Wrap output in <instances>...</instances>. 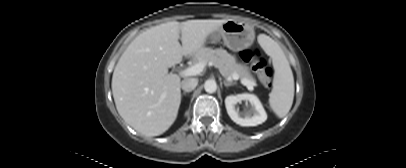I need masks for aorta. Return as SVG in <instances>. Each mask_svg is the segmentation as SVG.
Listing matches in <instances>:
<instances>
[{"label":"aorta","instance_id":"obj_1","mask_svg":"<svg viewBox=\"0 0 406 168\" xmlns=\"http://www.w3.org/2000/svg\"><path fill=\"white\" fill-rule=\"evenodd\" d=\"M204 89L207 93H214L217 90V84L215 80H207L204 83Z\"/></svg>","mask_w":406,"mask_h":168}]
</instances>
